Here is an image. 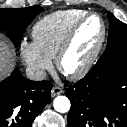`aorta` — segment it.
Masks as SVG:
<instances>
[{
	"mask_svg": "<svg viewBox=\"0 0 127 127\" xmlns=\"http://www.w3.org/2000/svg\"><path fill=\"white\" fill-rule=\"evenodd\" d=\"M54 109L59 113H66L70 110V100L66 96H57L53 102Z\"/></svg>",
	"mask_w": 127,
	"mask_h": 127,
	"instance_id": "1",
	"label": "aorta"
}]
</instances>
